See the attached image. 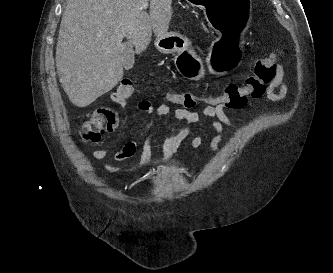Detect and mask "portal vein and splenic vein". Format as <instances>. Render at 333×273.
<instances>
[{
  "label": "portal vein and splenic vein",
  "mask_w": 333,
  "mask_h": 273,
  "mask_svg": "<svg viewBox=\"0 0 333 273\" xmlns=\"http://www.w3.org/2000/svg\"><path fill=\"white\" fill-rule=\"evenodd\" d=\"M147 7H148V2H147V0H145V1L142 3L141 8H142V9H146Z\"/></svg>",
  "instance_id": "portal-vein-and-splenic-vein-1"
}]
</instances>
